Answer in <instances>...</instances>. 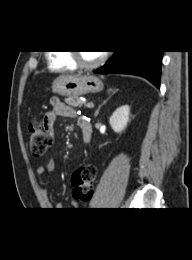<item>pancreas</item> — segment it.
<instances>
[{
    "mask_svg": "<svg viewBox=\"0 0 192 260\" xmlns=\"http://www.w3.org/2000/svg\"><path fill=\"white\" fill-rule=\"evenodd\" d=\"M65 102L72 107H82L84 102L78 98H66Z\"/></svg>",
    "mask_w": 192,
    "mask_h": 260,
    "instance_id": "1",
    "label": "pancreas"
}]
</instances>
